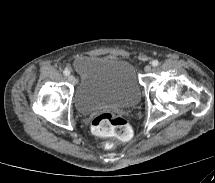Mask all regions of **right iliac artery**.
Masks as SVG:
<instances>
[{"mask_svg":"<svg viewBox=\"0 0 215 183\" xmlns=\"http://www.w3.org/2000/svg\"><path fill=\"white\" fill-rule=\"evenodd\" d=\"M63 73H64L65 76H68V75L70 74V71H69L68 69H65V70L63 71Z\"/></svg>","mask_w":215,"mask_h":183,"instance_id":"obj_1","label":"right iliac artery"}]
</instances>
